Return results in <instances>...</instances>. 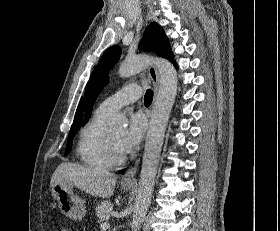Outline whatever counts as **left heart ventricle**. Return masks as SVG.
I'll return each instance as SVG.
<instances>
[{"instance_id":"1","label":"left heart ventricle","mask_w":280,"mask_h":231,"mask_svg":"<svg viewBox=\"0 0 280 231\" xmlns=\"http://www.w3.org/2000/svg\"><path fill=\"white\" fill-rule=\"evenodd\" d=\"M123 132H124V129H114V130L108 131V133L110 134L112 141L115 145V148L118 152H120V150L118 148V139L122 135Z\"/></svg>"}]
</instances>
